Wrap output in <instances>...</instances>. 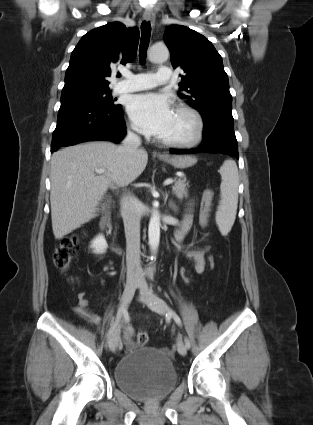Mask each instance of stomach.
Wrapping results in <instances>:
<instances>
[{"instance_id":"stomach-1","label":"stomach","mask_w":313,"mask_h":425,"mask_svg":"<svg viewBox=\"0 0 313 425\" xmlns=\"http://www.w3.org/2000/svg\"><path fill=\"white\" fill-rule=\"evenodd\" d=\"M164 162L172 165L176 169H185L193 166L197 159L193 156L188 155H174L162 159Z\"/></svg>"}]
</instances>
